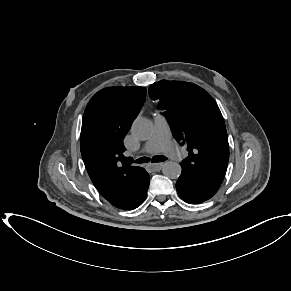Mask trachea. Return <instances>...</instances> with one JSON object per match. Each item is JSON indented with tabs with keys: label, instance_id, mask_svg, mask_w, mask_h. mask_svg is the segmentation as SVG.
Here are the masks:
<instances>
[{
	"label": "trachea",
	"instance_id": "3493384b",
	"mask_svg": "<svg viewBox=\"0 0 291 291\" xmlns=\"http://www.w3.org/2000/svg\"><path fill=\"white\" fill-rule=\"evenodd\" d=\"M165 160H166L165 157H163L161 155H156V156L152 157V159H150L149 157H140L135 162L136 163H147V162L151 161L152 163H157V162H163Z\"/></svg>",
	"mask_w": 291,
	"mask_h": 291
}]
</instances>
